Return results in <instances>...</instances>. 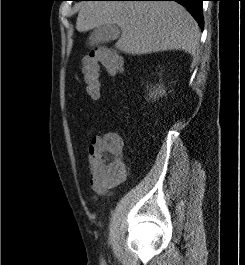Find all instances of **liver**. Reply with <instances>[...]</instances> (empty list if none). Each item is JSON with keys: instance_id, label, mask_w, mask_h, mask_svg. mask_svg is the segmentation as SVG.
<instances>
[{"instance_id": "obj_1", "label": "liver", "mask_w": 245, "mask_h": 265, "mask_svg": "<svg viewBox=\"0 0 245 265\" xmlns=\"http://www.w3.org/2000/svg\"><path fill=\"white\" fill-rule=\"evenodd\" d=\"M113 24L122 31L115 47L127 54L183 50L194 56L199 47L197 22L176 2L87 1L80 4L76 21L79 32Z\"/></svg>"}]
</instances>
